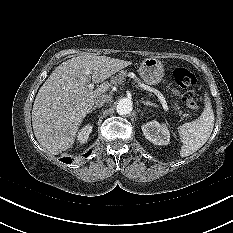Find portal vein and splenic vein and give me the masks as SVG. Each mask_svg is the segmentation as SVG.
<instances>
[{
	"instance_id": "18ae733b",
	"label": "portal vein and splenic vein",
	"mask_w": 233,
	"mask_h": 233,
	"mask_svg": "<svg viewBox=\"0 0 233 233\" xmlns=\"http://www.w3.org/2000/svg\"><path fill=\"white\" fill-rule=\"evenodd\" d=\"M87 74H91V71H88ZM132 78H134V75L131 76ZM135 80L138 82L139 86L145 90H148V91H151L153 92L155 95H157V97L159 98L162 106H163V109L165 111H168V106H167V103L165 101V98L163 97V95L156 89H152L150 88L149 86L141 83L137 78H135ZM94 88V85L93 84H89L88 85V89H93Z\"/></svg>"
}]
</instances>
